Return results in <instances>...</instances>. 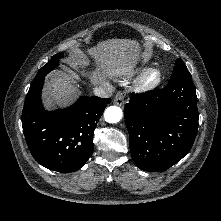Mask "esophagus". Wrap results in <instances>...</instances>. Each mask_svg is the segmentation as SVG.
I'll return each instance as SVG.
<instances>
[{"label":"esophagus","instance_id":"34e87169","mask_svg":"<svg viewBox=\"0 0 221 221\" xmlns=\"http://www.w3.org/2000/svg\"><path fill=\"white\" fill-rule=\"evenodd\" d=\"M126 94L124 92L119 91L114 97V103L118 106H123L125 104Z\"/></svg>","mask_w":221,"mask_h":221}]
</instances>
